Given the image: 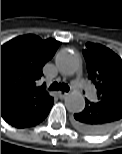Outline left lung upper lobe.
Returning <instances> with one entry per match:
<instances>
[{"mask_svg":"<svg viewBox=\"0 0 122 154\" xmlns=\"http://www.w3.org/2000/svg\"><path fill=\"white\" fill-rule=\"evenodd\" d=\"M83 55L88 77L97 88L98 100L122 99V60L107 47L87 43Z\"/></svg>","mask_w":122,"mask_h":154,"instance_id":"obj_1","label":"left lung upper lobe"}]
</instances>
